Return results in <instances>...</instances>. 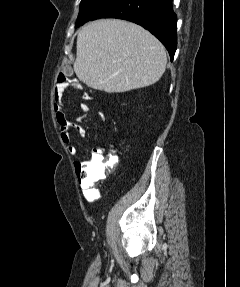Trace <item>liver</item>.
<instances>
[{
  "label": "liver",
  "instance_id": "1",
  "mask_svg": "<svg viewBox=\"0 0 240 287\" xmlns=\"http://www.w3.org/2000/svg\"><path fill=\"white\" fill-rule=\"evenodd\" d=\"M164 46L141 26L101 19L82 27L77 36V77L88 87L120 93L156 83L165 71Z\"/></svg>",
  "mask_w": 240,
  "mask_h": 287
}]
</instances>
